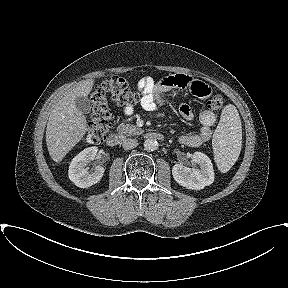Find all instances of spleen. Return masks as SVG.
I'll return each mask as SVG.
<instances>
[{
	"instance_id": "3e777b00",
	"label": "spleen",
	"mask_w": 288,
	"mask_h": 288,
	"mask_svg": "<svg viewBox=\"0 0 288 288\" xmlns=\"http://www.w3.org/2000/svg\"><path fill=\"white\" fill-rule=\"evenodd\" d=\"M242 146V125L239 113L232 104L222 110L212 139L214 159L218 169L226 173L237 161Z\"/></svg>"
}]
</instances>
